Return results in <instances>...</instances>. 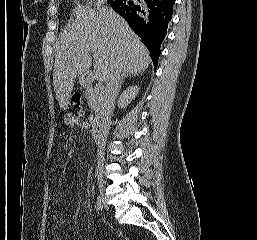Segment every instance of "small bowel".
<instances>
[{
  "label": "small bowel",
  "instance_id": "obj_1",
  "mask_svg": "<svg viewBox=\"0 0 257 240\" xmlns=\"http://www.w3.org/2000/svg\"><path fill=\"white\" fill-rule=\"evenodd\" d=\"M67 135V132H63L62 133V136H66ZM61 223H65V221L64 220H61Z\"/></svg>",
  "mask_w": 257,
  "mask_h": 240
}]
</instances>
